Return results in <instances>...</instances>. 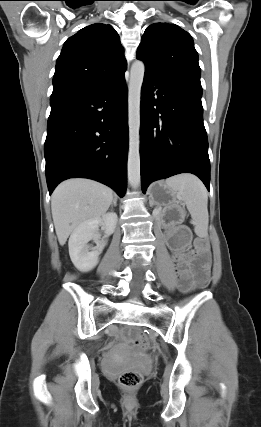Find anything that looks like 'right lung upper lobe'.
<instances>
[{"instance_id":"cb5924a9","label":"right lung upper lobe","mask_w":261,"mask_h":427,"mask_svg":"<svg viewBox=\"0 0 261 427\" xmlns=\"http://www.w3.org/2000/svg\"><path fill=\"white\" fill-rule=\"evenodd\" d=\"M126 59L116 30L89 25L69 37L56 62L50 104L91 93L124 77Z\"/></svg>"}]
</instances>
